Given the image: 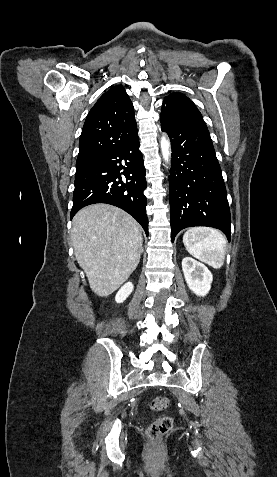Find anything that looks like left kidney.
<instances>
[{"label": "left kidney", "mask_w": 277, "mask_h": 477, "mask_svg": "<svg viewBox=\"0 0 277 477\" xmlns=\"http://www.w3.org/2000/svg\"><path fill=\"white\" fill-rule=\"evenodd\" d=\"M182 270L189 289L197 296H206L213 281L208 268L191 257H185L182 260Z\"/></svg>", "instance_id": "1"}]
</instances>
